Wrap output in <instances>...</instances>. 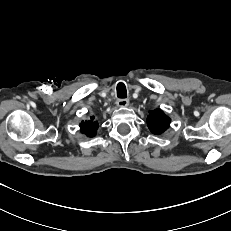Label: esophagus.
<instances>
[{"instance_id": "esophagus-1", "label": "esophagus", "mask_w": 231, "mask_h": 231, "mask_svg": "<svg viewBox=\"0 0 231 231\" xmlns=\"http://www.w3.org/2000/svg\"><path fill=\"white\" fill-rule=\"evenodd\" d=\"M116 103L119 107L123 108L129 105V100L128 99H118Z\"/></svg>"}]
</instances>
